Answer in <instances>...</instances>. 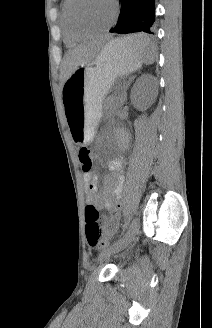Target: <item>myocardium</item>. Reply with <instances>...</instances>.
Segmentation results:
<instances>
[{"mask_svg": "<svg viewBox=\"0 0 212 328\" xmlns=\"http://www.w3.org/2000/svg\"><path fill=\"white\" fill-rule=\"evenodd\" d=\"M68 1L69 2L67 5V9H66V16H67V20H68L70 28L75 33H86V34L101 33V32L109 30L112 27V25L115 23V21L117 20L119 8H118V4H117L116 0H111V3L113 5V17H112L111 21L107 25H105L103 27H98V28L87 27V26H83V25L79 24L73 17V8H74L75 4L77 2H79L80 0H68Z\"/></svg>", "mask_w": 212, "mask_h": 328, "instance_id": "myocardium-1", "label": "myocardium"}]
</instances>
